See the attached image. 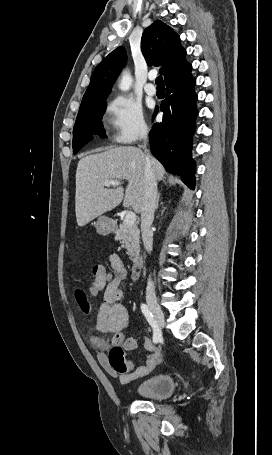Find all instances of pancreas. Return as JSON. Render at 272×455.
Listing matches in <instances>:
<instances>
[{
    "mask_svg": "<svg viewBox=\"0 0 272 455\" xmlns=\"http://www.w3.org/2000/svg\"><path fill=\"white\" fill-rule=\"evenodd\" d=\"M115 239L124 245L130 260L137 262L140 253V230L137 225L123 222L116 231Z\"/></svg>",
    "mask_w": 272,
    "mask_h": 455,
    "instance_id": "1",
    "label": "pancreas"
}]
</instances>
